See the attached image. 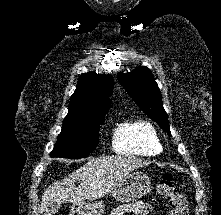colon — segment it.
<instances>
[{
  "label": "colon",
  "mask_w": 221,
  "mask_h": 215,
  "mask_svg": "<svg viewBox=\"0 0 221 215\" xmlns=\"http://www.w3.org/2000/svg\"><path fill=\"white\" fill-rule=\"evenodd\" d=\"M157 191L169 203V215H189L187 199L177 190L172 173L167 172L162 176Z\"/></svg>",
  "instance_id": "5ec220e1"
}]
</instances>
